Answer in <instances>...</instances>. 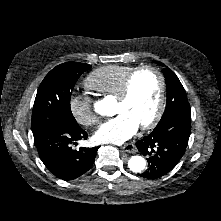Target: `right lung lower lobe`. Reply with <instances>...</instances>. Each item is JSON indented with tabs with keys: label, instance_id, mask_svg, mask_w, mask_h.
I'll return each instance as SVG.
<instances>
[{
	"label": "right lung lower lobe",
	"instance_id": "right-lung-lower-lobe-1",
	"mask_svg": "<svg viewBox=\"0 0 221 221\" xmlns=\"http://www.w3.org/2000/svg\"><path fill=\"white\" fill-rule=\"evenodd\" d=\"M33 136L39 157L47 169L67 181L78 178L92 167L99 148H71L74 141L88 137L79 125L52 124L35 129Z\"/></svg>",
	"mask_w": 221,
	"mask_h": 221
}]
</instances>
